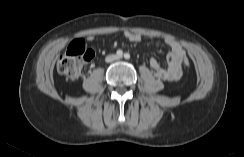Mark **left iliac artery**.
<instances>
[{
  "mask_svg": "<svg viewBox=\"0 0 244 157\" xmlns=\"http://www.w3.org/2000/svg\"><path fill=\"white\" fill-rule=\"evenodd\" d=\"M124 58H125V59H130V54H129V53H125V54H124Z\"/></svg>",
  "mask_w": 244,
  "mask_h": 157,
  "instance_id": "obj_1",
  "label": "left iliac artery"
}]
</instances>
